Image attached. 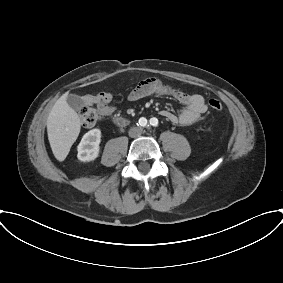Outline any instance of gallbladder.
I'll return each instance as SVG.
<instances>
[{"mask_svg":"<svg viewBox=\"0 0 283 283\" xmlns=\"http://www.w3.org/2000/svg\"><path fill=\"white\" fill-rule=\"evenodd\" d=\"M66 101H67L68 105L75 110L80 109L82 104H83L82 99L79 96L74 95V94H70L67 97Z\"/></svg>","mask_w":283,"mask_h":283,"instance_id":"obj_1","label":"gallbladder"}]
</instances>
